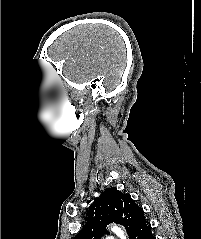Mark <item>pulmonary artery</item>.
I'll list each match as a JSON object with an SVG mask.
<instances>
[{
	"label": "pulmonary artery",
	"mask_w": 201,
	"mask_h": 239,
	"mask_svg": "<svg viewBox=\"0 0 201 239\" xmlns=\"http://www.w3.org/2000/svg\"><path fill=\"white\" fill-rule=\"evenodd\" d=\"M106 239H115V238L112 236H107Z\"/></svg>",
	"instance_id": "1"
}]
</instances>
